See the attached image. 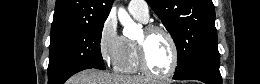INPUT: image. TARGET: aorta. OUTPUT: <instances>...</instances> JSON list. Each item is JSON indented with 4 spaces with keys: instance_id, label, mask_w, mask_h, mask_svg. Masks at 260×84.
Returning <instances> with one entry per match:
<instances>
[{
    "instance_id": "762f6f07",
    "label": "aorta",
    "mask_w": 260,
    "mask_h": 84,
    "mask_svg": "<svg viewBox=\"0 0 260 84\" xmlns=\"http://www.w3.org/2000/svg\"><path fill=\"white\" fill-rule=\"evenodd\" d=\"M118 19L120 23L124 26V34L126 36H129L130 29L136 27V23L131 19L129 14L123 8H120L118 11Z\"/></svg>"
}]
</instances>
